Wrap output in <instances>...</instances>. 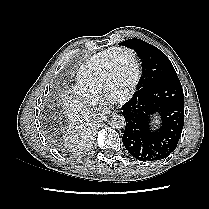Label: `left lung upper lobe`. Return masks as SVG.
I'll use <instances>...</instances> for the list:
<instances>
[{"instance_id":"1","label":"left lung upper lobe","mask_w":209,"mask_h":209,"mask_svg":"<svg viewBox=\"0 0 209 209\" xmlns=\"http://www.w3.org/2000/svg\"><path fill=\"white\" fill-rule=\"evenodd\" d=\"M121 44L134 49L142 59L143 72L137 89L150 88L164 78L177 76L170 60L157 47L140 39H128Z\"/></svg>"}]
</instances>
